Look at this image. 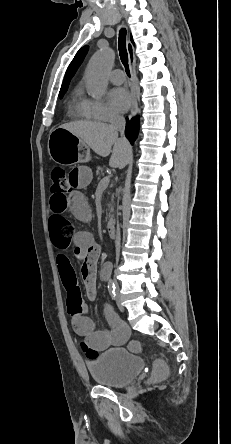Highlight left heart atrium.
<instances>
[{"mask_svg":"<svg viewBox=\"0 0 231 444\" xmlns=\"http://www.w3.org/2000/svg\"><path fill=\"white\" fill-rule=\"evenodd\" d=\"M109 101L117 111L127 110L132 102L130 93L124 88H114L109 92Z\"/></svg>","mask_w":231,"mask_h":444,"instance_id":"39dd6f15","label":"left heart atrium"}]
</instances>
